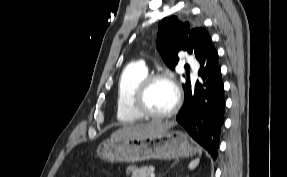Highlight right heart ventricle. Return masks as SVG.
<instances>
[{"label": "right heart ventricle", "mask_w": 287, "mask_h": 177, "mask_svg": "<svg viewBox=\"0 0 287 177\" xmlns=\"http://www.w3.org/2000/svg\"><path fill=\"white\" fill-rule=\"evenodd\" d=\"M148 75L143 64H130L122 71L116 90V117L124 124L140 121V116L132 107V98L140 82Z\"/></svg>", "instance_id": "obj_1"}]
</instances>
